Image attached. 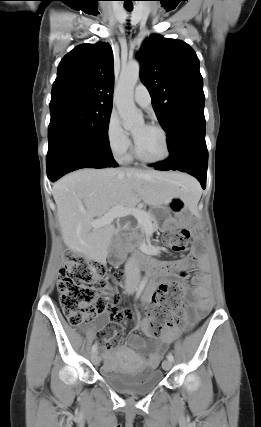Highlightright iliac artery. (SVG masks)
I'll return each mask as SVG.
<instances>
[{
	"instance_id": "1",
	"label": "right iliac artery",
	"mask_w": 261,
	"mask_h": 427,
	"mask_svg": "<svg viewBox=\"0 0 261 427\" xmlns=\"http://www.w3.org/2000/svg\"><path fill=\"white\" fill-rule=\"evenodd\" d=\"M145 285H146V281H141V283L137 289V292H136V298H138L141 295ZM96 350H97V344H94L92 346V352H95Z\"/></svg>"
}]
</instances>
